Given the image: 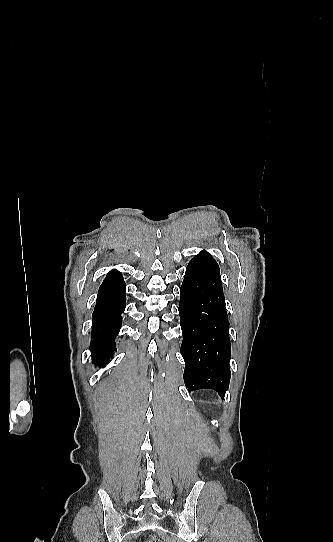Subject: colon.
<instances>
[{
  "label": "colon",
  "instance_id": "colon-1",
  "mask_svg": "<svg viewBox=\"0 0 333 542\" xmlns=\"http://www.w3.org/2000/svg\"><path fill=\"white\" fill-rule=\"evenodd\" d=\"M142 542H163L162 536H143Z\"/></svg>",
  "mask_w": 333,
  "mask_h": 542
}]
</instances>
